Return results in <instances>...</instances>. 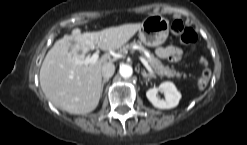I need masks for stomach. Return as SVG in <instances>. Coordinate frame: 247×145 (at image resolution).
I'll return each mask as SVG.
<instances>
[{
  "label": "stomach",
  "mask_w": 247,
  "mask_h": 145,
  "mask_svg": "<svg viewBox=\"0 0 247 145\" xmlns=\"http://www.w3.org/2000/svg\"><path fill=\"white\" fill-rule=\"evenodd\" d=\"M168 35L169 21L161 15L146 17L139 29V39L148 47H155L164 43Z\"/></svg>",
  "instance_id": "obj_1"
}]
</instances>
